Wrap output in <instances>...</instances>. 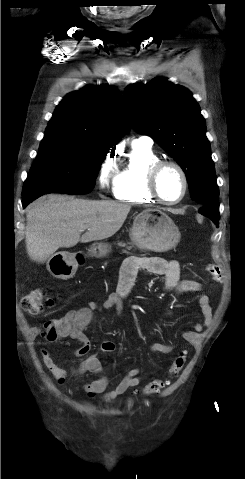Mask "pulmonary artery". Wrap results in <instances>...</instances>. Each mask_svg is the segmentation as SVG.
<instances>
[{
	"label": "pulmonary artery",
	"mask_w": 245,
	"mask_h": 479,
	"mask_svg": "<svg viewBox=\"0 0 245 479\" xmlns=\"http://www.w3.org/2000/svg\"><path fill=\"white\" fill-rule=\"evenodd\" d=\"M136 141H139V142L147 144V145H152V143H153L152 139L150 137H147V136L140 137V138L136 139Z\"/></svg>",
	"instance_id": "pulmonary-artery-1"
}]
</instances>
